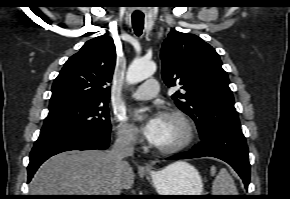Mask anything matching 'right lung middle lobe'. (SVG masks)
Segmentation results:
<instances>
[{
  "instance_id": "dd1d6c3e",
  "label": "right lung middle lobe",
  "mask_w": 290,
  "mask_h": 199,
  "mask_svg": "<svg viewBox=\"0 0 290 199\" xmlns=\"http://www.w3.org/2000/svg\"><path fill=\"white\" fill-rule=\"evenodd\" d=\"M108 103H88L50 111L39 138L83 131L110 132Z\"/></svg>"
}]
</instances>
